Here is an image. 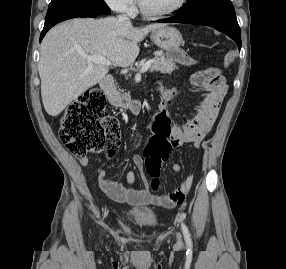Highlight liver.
<instances>
[{
	"label": "liver",
	"mask_w": 286,
	"mask_h": 269,
	"mask_svg": "<svg viewBox=\"0 0 286 269\" xmlns=\"http://www.w3.org/2000/svg\"><path fill=\"white\" fill-rule=\"evenodd\" d=\"M165 26L155 23L135 28L130 22L107 17L76 18L53 27L41 43L38 64L46 112L59 115L108 73V65L89 63L85 55H100L116 67H128L139 54L138 42Z\"/></svg>",
	"instance_id": "6515ba94"
}]
</instances>
